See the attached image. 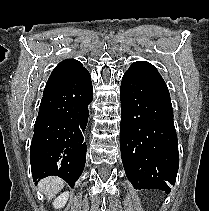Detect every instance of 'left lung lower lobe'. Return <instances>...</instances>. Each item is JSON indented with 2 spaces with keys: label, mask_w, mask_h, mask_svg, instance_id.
Returning a JSON list of instances; mask_svg holds the SVG:
<instances>
[{
  "label": "left lung lower lobe",
  "mask_w": 209,
  "mask_h": 211,
  "mask_svg": "<svg viewBox=\"0 0 209 211\" xmlns=\"http://www.w3.org/2000/svg\"><path fill=\"white\" fill-rule=\"evenodd\" d=\"M121 158L136 189L170 192L179 167L173 108L166 83L147 61L134 62L120 87Z\"/></svg>",
  "instance_id": "obj_1"
}]
</instances>
